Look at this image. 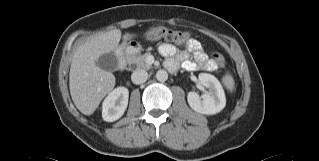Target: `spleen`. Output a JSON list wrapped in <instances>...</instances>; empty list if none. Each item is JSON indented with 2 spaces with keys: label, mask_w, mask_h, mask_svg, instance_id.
I'll return each instance as SVG.
<instances>
[{
  "label": "spleen",
  "mask_w": 319,
  "mask_h": 161,
  "mask_svg": "<svg viewBox=\"0 0 319 161\" xmlns=\"http://www.w3.org/2000/svg\"><path fill=\"white\" fill-rule=\"evenodd\" d=\"M222 81H223V84L225 85V87L229 91L234 90L235 82H234L233 77L230 74H226L225 76H223Z\"/></svg>",
  "instance_id": "3e777b00"
}]
</instances>
